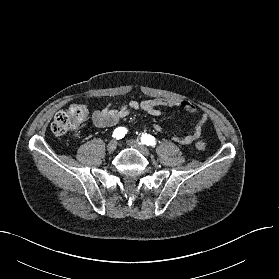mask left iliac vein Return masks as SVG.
Masks as SVG:
<instances>
[{
    "label": "left iliac vein",
    "mask_w": 279,
    "mask_h": 279,
    "mask_svg": "<svg viewBox=\"0 0 279 279\" xmlns=\"http://www.w3.org/2000/svg\"><path fill=\"white\" fill-rule=\"evenodd\" d=\"M127 144L130 147L135 148L136 150H138L144 156H150L149 149L144 144H142L141 142L136 141V140H128Z\"/></svg>",
    "instance_id": "obj_1"
}]
</instances>
